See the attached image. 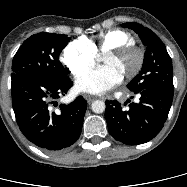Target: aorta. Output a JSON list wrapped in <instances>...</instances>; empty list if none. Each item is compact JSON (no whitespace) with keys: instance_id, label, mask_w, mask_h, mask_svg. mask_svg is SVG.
<instances>
[{"instance_id":"762f6f07","label":"aorta","mask_w":187,"mask_h":187,"mask_svg":"<svg viewBox=\"0 0 187 187\" xmlns=\"http://www.w3.org/2000/svg\"><path fill=\"white\" fill-rule=\"evenodd\" d=\"M106 105L102 100H96L92 103L91 109L94 113L100 114L105 111Z\"/></svg>"}]
</instances>
